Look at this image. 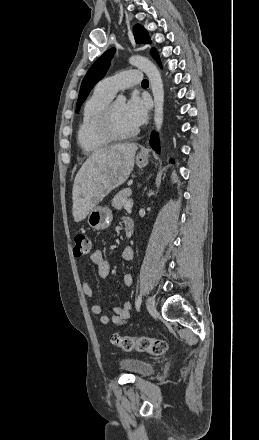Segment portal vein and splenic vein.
<instances>
[{"mask_svg":"<svg viewBox=\"0 0 259 440\" xmlns=\"http://www.w3.org/2000/svg\"><path fill=\"white\" fill-rule=\"evenodd\" d=\"M133 207V201L129 200L128 202H126L124 208L125 210H130Z\"/></svg>","mask_w":259,"mask_h":440,"instance_id":"obj_1","label":"portal vein and splenic vein"}]
</instances>
